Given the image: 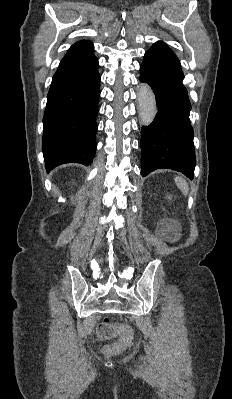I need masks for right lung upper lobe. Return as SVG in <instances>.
<instances>
[{"mask_svg": "<svg viewBox=\"0 0 232 399\" xmlns=\"http://www.w3.org/2000/svg\"><path fill=\"white\" fill-rule=\"evenodd\" d=\"M93 48L94 47L91 41L82 40L72 45L68 50V53L92 52Z\"/></svg>", "mask_w": 232, "mask_h": 399, "instance_id": "cb5924a9", "label": "right lung upper lobe"}]
</instances>
